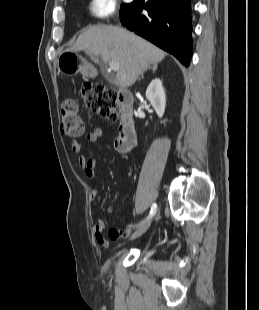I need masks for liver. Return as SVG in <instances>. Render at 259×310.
I'll list each match as a JSON object with an SVG mask.
<instances>
[{
    "mask_svg": "<svg viewBox=\"0 0 259 310\" xmlns=\"http://www.w3.org/2000/svg\"><path fill=\"white\" fill-rule=\"evenodd\" d=\"M85 50L92 61L101 57L104 63L118 62L116 80L120 87L132 86L139 74L150 65L161 62L166 53L145 39L116 26H93L79 35L70 48Z\"/></svg>",
    "mask_w": 259,
    "mask_h": 310,
    "instance_id": "6515ba94",
    "label": "liver"
}]
</instances>
